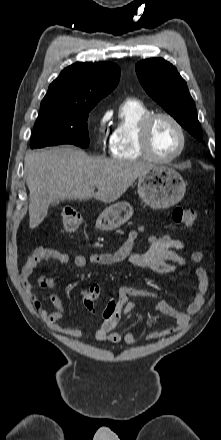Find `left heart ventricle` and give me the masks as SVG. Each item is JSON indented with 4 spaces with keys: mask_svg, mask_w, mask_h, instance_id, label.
Instances as JSON below:
<instances>
[{
    "mask_svg": "<svg viewBox=\"0 0 221 440\" xmlns=\"http://www.w3.org/2000/svg\"><path fill=\"white\" fill-rule=\"evenodd\" d=\"M150 144L159 157L173 155L180 146V135L175 125L168 119H157L151 128Z\"/></svg>",
    "mask_w": 221,
    "mask_h": 440,
    "instance_id": "left-heart-ventricle-1",
    "label": "left heart ventricle"
}]
</instances>
